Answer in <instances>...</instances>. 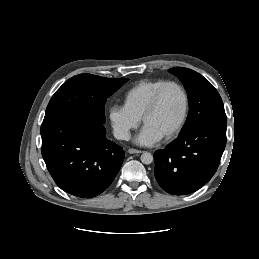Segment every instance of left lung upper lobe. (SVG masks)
<instances>
[{"mask_svg": "<svg viewBox=\"0 0 259 259\" xmlns=\"http://www.w3.org/2000/svg\"><path fill=\"white\" fill-rule=\"evenodd\" d=\"M169 72L180 79L188 94L189 113L180 134L204 121H227L222 99L207 79L183 67L171 68Z\"/></svg>", "mask_w": 259, "mask_h": 259, "instance_id": "left-lung-upper-lobe-1", "label": "left lung upper lobe"}]
</instances>
